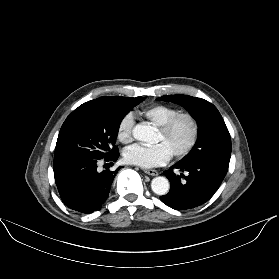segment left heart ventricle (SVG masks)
Masks as SVG:
<instances>
[{
    "label": "left heart ventricle",
    "mask_w": 279,
    "mask_h": 279,
    "mask_svg": "<svg viewBox=\"0 0 279 279\" xmlns=\"http://www.w3.org/2000/svg\"><path fill=\"white\" fill-rule=\"evenodd\" d=\"M191 135V124L188 119H180L167 135L158 132L156 142L164 143L171 153L185 147Z\"/></svg>",
    "instance_id": "b2bd125f"
}]
</instances>
